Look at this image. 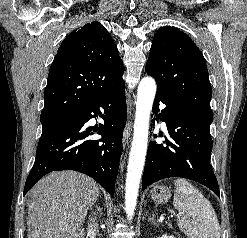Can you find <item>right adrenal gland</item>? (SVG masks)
Returning <instances> with one entry per match:
<instances>
[{
  "mask_svg": "<svg viewBox=\"0 0 247 238\" xmlns=\"http://www.w3.org/2000/svg\"><path fill=\"white\" fill-rule=\"evenodd\" d=\"M97 210L99 212V217H101V209H100V207L97 206Z\"/></svg>",
  "mask_w": 247,
  "mask_h": 238,
  "instance_id": "right-adrenal-gland-1",
  "label": "right adrenal gland"
}]
</instances>
